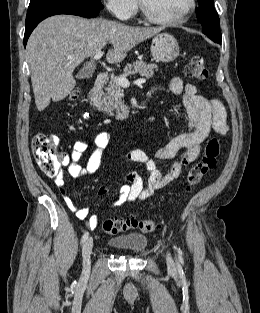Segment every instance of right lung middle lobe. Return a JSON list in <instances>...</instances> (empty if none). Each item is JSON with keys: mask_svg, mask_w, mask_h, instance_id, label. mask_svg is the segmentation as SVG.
I'll list each match as a JSON object with an SVG mask.
<instances>
[{"mask_svg": "<svg viewBox=\"0 0 260 313\" xmlns=\"http://www.w3.org/2000/svg\"><path fill=\"white\" fill-rule=\"evenodd\" d=\"M40 1H44V0H31L30 3L40 2ZM55 1L76 2V3H82V4H86V5L100 8V9L103 8V5L101 4L100 0H55Z\"/></svg>", "mask_w": 260, "mask_h": 313, "instance_id": "obj_1", "label": "right lung middle lobe"}]
</instances>
